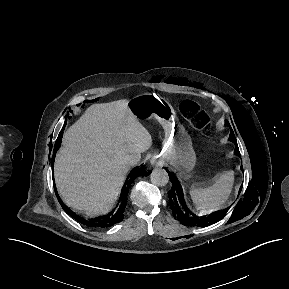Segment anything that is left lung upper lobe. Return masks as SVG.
<instances>
[{
    "label": "left lung upper lobe",
    "mask_w": 289,
    "mask_h": 289,
    "mask_svg": "<svg viewBox=\"0 0 289 289\" xmlns=\"http://www.w3.org/2000/svg\"><path fill=\"white\" fill-rule=\"evenodd\" d=\"M227 124H228V123H227ZM228 126L230 127L229 124H228ZM229 139H230V141H232V142L235 144V151H234V153L239 156V155H240L239 148H238V145H237V142H236L235 135H234V133H233L232 130H231V132H230V137H229Z\"/></svg>",
    "instance_id": "1"
}]
</instances>
